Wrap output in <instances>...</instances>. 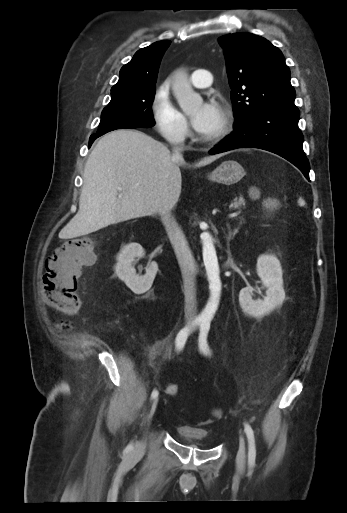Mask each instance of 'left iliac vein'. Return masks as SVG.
Here are the masks:
<instances>
[{"instance_id": "1", "label": "left iliac vein", "mask_w": 347, "mask_h": 513, "mask_svg": "<svg viewBox=\"0 0 347 513\" xmlns=\"http://www.w3.org/2000/svg\"><path fill=\"white\" fill-rule=\"evenodd\" d=\"M246 463V448H245V440L243 435H240L239 438V449L236 456V466L239 471H242L245 467Z\"/></svg>"}]
</instances>
